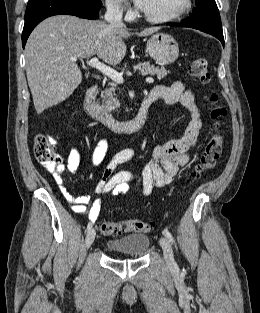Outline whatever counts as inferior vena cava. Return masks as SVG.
<instances>
[{
  "label": "inferior vena cava",
  "mask_w": 260,
  "mask_h": 313,
  "mask_svg": "<svg viewBox=\"0 0 260 313\" xmlns=\"http://www.w3.org/2000/svg\"><path fill=\"white\" fill-rule=\"evenodd\" d=\"M106 7L107 11L104 19L112 26H123V13L120 10L119 4L111 1L106 3Z\"/></svg>",
  "instance_id": "inferior-vena-cava-1"
}]
</instances>
